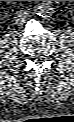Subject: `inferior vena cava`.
Returning a JSON list of instances; mask_svg holds the SVG:
<instances>
[{
  "mask_svg": "<svg viewBox=\"0 0 74 122\" xmlns=\"http://www.w3.org/2000/svg\"><path fill=\"white\" fill-rule=\"evenodd\" d=\"M29 13L27 12H22V11H18L16 13V17H15V21L16 23H23L26 21V19L28 18Z\"/></svg>",
  "mask_w": 74,
  "mask_h": 122,
  "instance_id": "inferior-vena-cava-1",
  "label": "inferior vena cava"
}]
</instances>
